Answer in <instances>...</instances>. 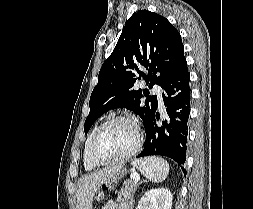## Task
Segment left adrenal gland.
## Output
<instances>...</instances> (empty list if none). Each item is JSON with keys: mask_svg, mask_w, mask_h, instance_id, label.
Listing matches in <instances>:
<instances>
[{"mask_svg": "<svg viewBox=\"0 0 253 209\" xmlns=\"http://www.w3.org/2000/svg\"><path fill=\"white\" fill-rule=\"evenodd\" d=\"M133 202H134V200H133V197H132V198H131V201H130L131 209H132V207H133Z\"/></svg>", "mask_w": 253, "mask_h": 209, "instance_id": "a2214340", "label": "left adrenal gland"}]
</instances>
